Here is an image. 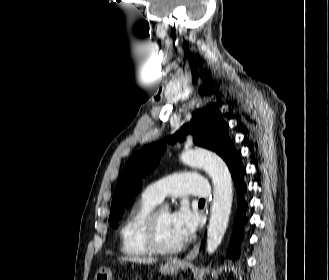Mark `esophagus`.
<instances>
[{"mask_svg": "<svg viewBox=\"0 0 329 280\" xmlns=\"http://www.w3.org/2000/svg\"><path fill=\"white\" fill-rule=\"evenodd\" d=\"M200 249V242H198L193 249L187 254V256L182 260L178 261L177 263H184L186 261L193 260L195 257H197Z\"/></svg>", "mask_w": 329, "mask_h": 280, "instance_id": "34e87169", "label": "esophagus"}]
</instances>
